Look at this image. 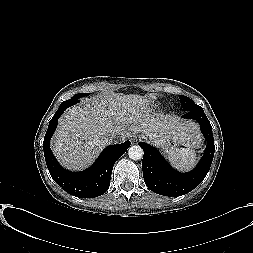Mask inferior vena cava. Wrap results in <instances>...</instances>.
I'll return each instance as SVG.
<instances>
[{"instance_id": "inferior-vena-cava-1", "label": "inferior vena cava", "mask_w": 253, "mask_h": 253, "mask_svg": "<svg viewBox=\"0 0 253 253\" xmlns=\"http://www.w3.org/2000/svg\"><path fill=\"white\" fill-rule=\"evenodd\" d=\"M118 139L120 141H124L126 139V135L124 133L118 134V133H111L110 140Z\"/></svg>"}]
</instances>
